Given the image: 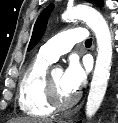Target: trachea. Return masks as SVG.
I'll return each instance as SVG.
<instances>
[{
    "mask_svg": "<svg viewBox=\"0 0 118 123\" xmlns=\"http://www.w3.org/2000/svg\"><path fill=\"white\" fill-rule=\"evenodd\" d=\"M92 44V39L89 38L85 41V45H91Z\"/></svg>",
    "mask_w": 118,
    "mask_h": 123,
    "instance_id": "3493384b",
    "label": "trachea"
}]
</instances>
